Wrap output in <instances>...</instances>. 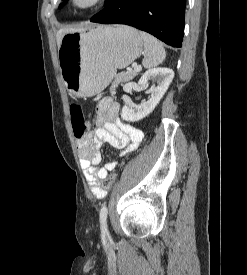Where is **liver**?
<instances>
[{"instance_id":"obj_1","label":"liver","mask_w":247,"mask_h":275,"mask_svg":"<svg viewBox=\"0 0 247 275\" xmlns=\"http://www.w3.org/2000/svg\"><path fill=\"white\" fill-rule=\"evenodd\" d=\"M75 31H82V29H71V28L60 29L56 35L58 48L60 47L62 37L67 33L75 32Z\"/></svg>"}]
</instances>
